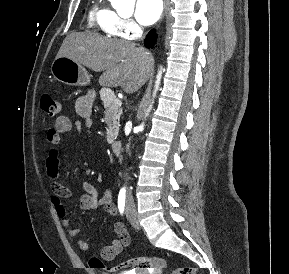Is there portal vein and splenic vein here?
<instances>
[{
  "label": "portal vein and splenic vein",
  "instance_id": "obj_1",
  "mask_svg": "<svg viewBox=\"0 0 289 274\" xmlns=\"http://www.w3.org/2000/svg\"><path fill=\"white\" fill-rule=\"evenodd\" d=\"M117 104H121V101L119 99L116 100Z\"/></svg>",
  "mask_w": 289,
  "mask_h": 274
}]
</instances>
